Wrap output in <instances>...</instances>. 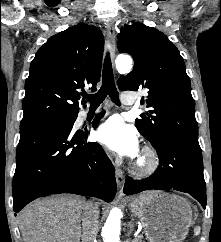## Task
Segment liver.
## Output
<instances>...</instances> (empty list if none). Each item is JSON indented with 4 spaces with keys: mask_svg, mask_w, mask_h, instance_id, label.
<instances>
[{
    "mask_svg": "<svg viewBox=\"0 0 221 242\" xmlns=\"http://www.w3.org/2000/svg\"><path fill=\"white\" fill-rule=\"evenodd\" d=\"M84 199L57 196L34 201L19 214L24 242H79Z\"/></svg>",
    "mask_w": 221,
    "mask_h": 242,
    "instance_id": "obj_1",
    "label": "liver"
}]
</instances>
